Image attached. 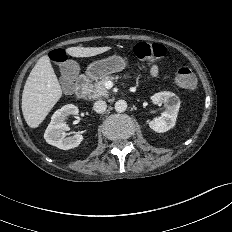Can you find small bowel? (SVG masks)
Returning <instances> with one entry per match:
<instances>
[{"label":"small bowel","mask_w":232,"mask_h":232,"mask_svg":"<svg viewBox=\"0 0 232 232\" xmlns=\"http://www.w3.org/2000/svg\"><path fill=\"white\" fill-rule=\"evenodd\" d=\"M150 74L152 77H157L159 74V65L157 63H153L150 67Z\"/></svg>","instance_id":"obj_1"}]
</instances>
